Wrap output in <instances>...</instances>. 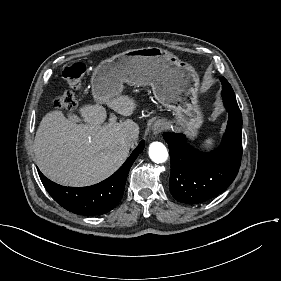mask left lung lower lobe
Instances as JSON below:
<instances>
[{
	"label": "left lung lower lobe",
	"mask_w": 281,
	"mask_h": 281,
	"mask_svg": "<svg viewBox=\"0 0 281 281\" xmlns=\"http://www.w3.org/2000/svg\"><path fill=\"white\" fill-rule=\"evenodd\" d=\"M229 119L222 143L203 153L187 144L182 134L164 133L169 145L172 196L183 203L207 201L223 192L235 179L242 157V114L235 98L223 97Z\"/></svg>",
	"instance_id": "1"
}]
</instances>
